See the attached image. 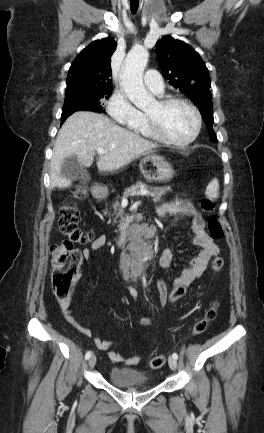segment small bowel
<instances>
[{"label": "small bowel", "mask_w": 264, "mask_h": 433, "mask_svg": "<svg viewBox=\"0 0 264 433\" xmlns=\"http://www.w3.org/2000/svg\"><path fill=\"white\" fill-rule=\"evenodd\" d=\"M159 215L174 216V221L188 216L192 218V231L194 233L193 243L195 246L200 248L198 255L193 258L190 262V266L185 268L181 275L174 280L175 285H183L188 287L194 280L199 278L205 271L209 260L218 254L219 249L211 236L205 230V222L203 218L198 214L195 207L187 200H174L166 202L158 207L157 209ZM106 244V238L101 236L95 239L90 246L86 247L82 251V256L85 260H89L94 251L102 249ZM173 261V251L171 249H166L163 251L160 263L162 267H170ZM156 288L159 293V299L161 306L165 305L168 290L165 282L163 280H158L156 282ZM130 292L135 295V290L130 287ZM61 312L68 323H70L76 330L85 336L91 337L94 335L93 331L82 327L75 319L72 309V300L69 295L66 298L59 300ZM152 322V318L143 317L139 319L141 325H149ZM94 343L96 347L100 350H108L112 346V342L106 341L101 337H95ZM109 357L111 360L124 365H136L140 361L139 356L125 357L121 354L115 352H109Z\"/></svg>", "instance_id": "c3829d8e"}]
</instances>
